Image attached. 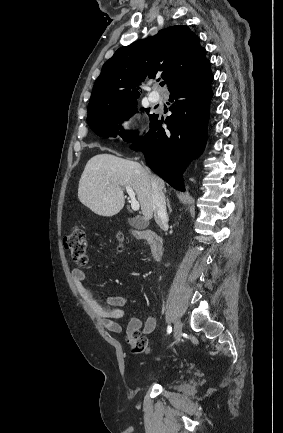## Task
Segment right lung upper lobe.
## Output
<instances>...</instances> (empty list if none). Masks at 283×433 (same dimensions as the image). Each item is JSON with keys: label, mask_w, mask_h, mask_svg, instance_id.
<instances>
[{"label": "right lung upper lobe", "mask_w": 283, "mask_h": 433, "mask_svg": "<svg viewBox=\"0 0 283 433\" xmlns=\"http://www.w3.org/2000/svg\"><path fill=\"white\" fill-rule=\"evenodd\" d=\"M161 73L169 91L187 88L211 75L210 62L199 38L187 26H171L156 35L119 48L102 67L88 114L136 101V86ZM159 80V79H158Z\"/></svg>", "instance_id": "1"}]
</instances>
